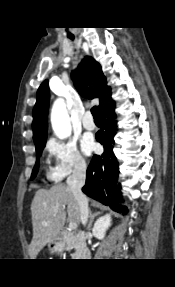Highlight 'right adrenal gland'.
<instances>
[{
	"instance_id": "right-adrenal-gland-1",
	"label": "right adrenal gland",
	"mask_w": 175,
	"mask_h": 287,
	"mask_svg": "<svg viewBox=\"0 0 175 287\" xmlns=\"http://www.w3.org/2000/svg\"><path fill=\"white\" fill-rule=\"evenodd\" d=\"M99 214H100V212L92 213V212L90 211V221H89V224H88V227H87L88 230L91 229L92 222H93L94 218H95L96 216H98Z\"/></svg>"
}]
</instances>
